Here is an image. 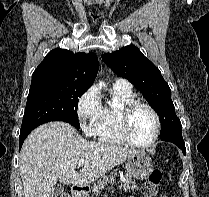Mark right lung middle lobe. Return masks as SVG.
<instances>
[{"instance_id":"obj_1","label":"right lung middle lobe","mask_w":209,"mask_h":197,"mask_svg":"<svg viewBox=\"0 0 209 197\" xmlns=\"http://www.w3.org/2000/svg\"><path fill=\"white\" fill-rule=\"evenodd\" d=\"M88 88L75 83L31 82L21 129L50 121H64L80 128L78 98Z\"/></svg>"}]
</instances>
